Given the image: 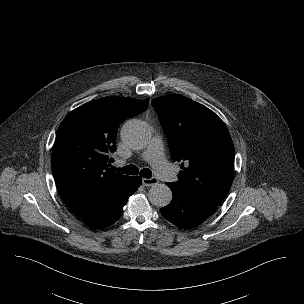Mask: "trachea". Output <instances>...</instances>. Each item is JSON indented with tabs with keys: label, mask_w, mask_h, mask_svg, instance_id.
I'll list each match as a JSON object with an SVG mask.
<instances>
[{
	"label": "trachea",
	"mask_w": 304,
	"mask_h": 304,
	"mask_svg": "<svg viewBox=\"0 0 304 304\" xmlns=\"http://www.w3.org/2000/svg\"><path fill=\"white\" fill-rule=\"evenodd\" d=\"M116 171L123 173V174H129V175H136L139 173L138 167L135 165H127L122 168H115ZM140 175L144 178H151L152 173L151 170L144 168L140 171Z\"/></svg>",
	"instance_id": "obj_1"
}]
</instances>
